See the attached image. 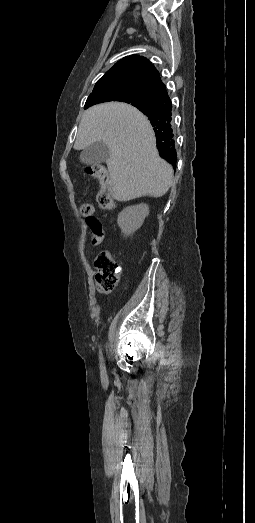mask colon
<instances>
[{"label": "colon", "mask_w": 255, "mask_h": 523, "mask_svg": "<svg viewBox=\"0 0 255 523\" xmlns=\"http://www.w3.org/2000/svg\"><path fill=\"white\" fill-rule=\"evenodd\" d=\"M87 173L100 184L97 194L99 206L106 210L115 209V202L111 194L109 174L105 166L93 165L87 169ZM80 213L86 218V221L93 219L94 206L91 203H83L80 206ZM94 266L96 269V285L101 293H109L118 283L120 268L113 256L108 250H102L96 257Z\"/></svg>", "instance_id": "1"}]
</instances>
